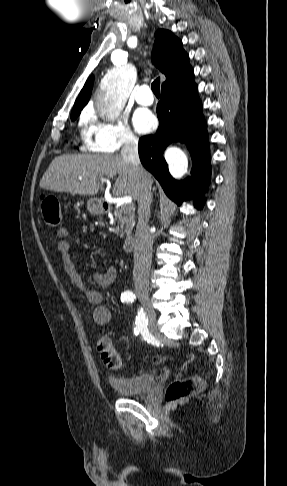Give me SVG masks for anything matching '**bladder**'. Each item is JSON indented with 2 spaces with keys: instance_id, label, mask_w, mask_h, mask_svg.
<instances>
[{
  "instance_id": "obj_1",
  "label": "bladder",
  "mask_w": 287,
  "mask_h": 486,
  "mask_svg": "<svg viewBox=\"0 0 287 486\" xmlns=\"http://www.w3.org/2000/svg\"><path fill=\"white\" fill-rule=\"evenodd\" d=\"M110 386L123 396H135L149 392L154 383L155 376L143 373L133 376H109Z\"/></svg>"
}]
</instances>
